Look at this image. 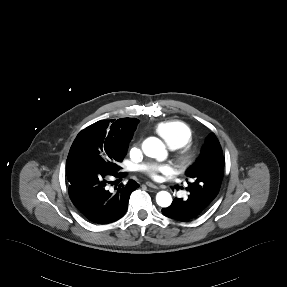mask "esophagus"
<instances>
[{
  "mask_svg": "<svg viewBox=\"0 0 287 287\" xmlns=\"http://www.w3.org/2000/svg\"><path fill=\"white\" fill-rule=\"evenodd\" d=\"M146 185H147L148 187L153 188V189H156V190L159 189L158 186H156L155 184H153V183H151V182H146Z\"/></svg>",
  "mask_w": 287,
  "mask_h": 287,
  "instance_id": "34e87169",
  "label": "esophagus"
}]
</instances>
